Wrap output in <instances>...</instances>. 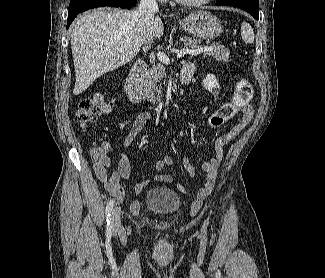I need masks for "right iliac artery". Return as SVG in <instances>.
Here are the masks:
<instances>
[{"mask_svg": "<svg viewBox=\"0 0 325 278\" xmlns=\"http://www.w3.org/2000/svg\"><path fill=\"white\" fill-rule=\"evenodd\" d=\"M113 206H114V200L112 199L107 204L106 210H105L106 217H107V219H106V221H107V223H106V232L108 234H111L112 233V228H113L112 223H111V219H110L111 211L113 209Z\"/></svg>", "mask_w": 325, "mask_h": 278, "instance_id": "82829eb1", "label": "right iliac artery"}]
</instances>
